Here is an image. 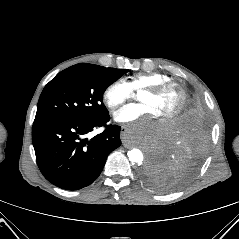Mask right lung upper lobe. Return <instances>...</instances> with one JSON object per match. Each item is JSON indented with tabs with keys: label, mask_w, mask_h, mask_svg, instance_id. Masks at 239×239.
Masks as SVG:
<instances>
[{
	"label": "right lung upper lobe",
	"mask_w": 239,
	"mask_h": 239,
	"mask_svg": "<svg viewBox=\"0 0 239 239\" xmlns=\"http://www.w3.org/2000/svg\"><path fill=\"white\" fill-rule=\"evenodd\" d=\"M81 64L85 67H90V68H103L101 66L93 65V64H87V63H81Z\"/></svg>",
	"instance_id": "right-lung-upper-lobe-1"
}]
</instances>
